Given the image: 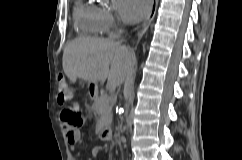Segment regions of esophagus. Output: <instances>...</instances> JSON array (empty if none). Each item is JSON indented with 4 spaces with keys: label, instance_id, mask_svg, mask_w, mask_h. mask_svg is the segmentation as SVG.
Here are the masks:
<instances>
[{
    "label": "esophagus",
    "instance_id": "34e87169",
    "mask_svg": "<svg viewBox=\"0 0 242 160\" xmlns=\"http://www.w3.org/2000/svg\"><path fill=\"white\" fill-rule=\"evenodd\" d=\"M157 6H158V0H152L149 14L147 15V17H146L145 21L143 22L142 26L140 27L141 32L145 31L146 28L149 26V24L154 19L155 14H156V10H157Z\"/></svg>",
    "mask_w": 242,
    "mask_h": 160
}]
</instances>
